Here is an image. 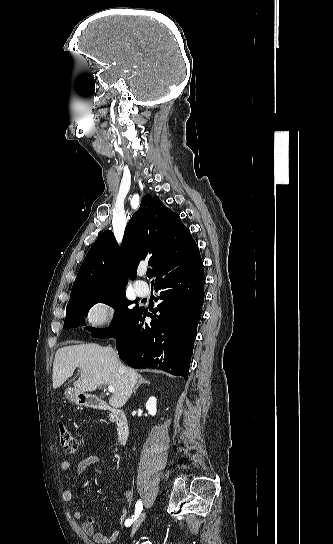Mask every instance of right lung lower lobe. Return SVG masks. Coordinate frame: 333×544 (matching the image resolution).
Segmentation results:
<instances>
[{
	"label": "right lung lower lobe",
	"mask_w": 333,
	"mask_h": 544,
	"mask_svg": "<svg viewBox=\"0 0 333 544\" xmlns=\"http://www.w3.org/2000/svg\"><path fill=\"white\" fill-rule=\"evenodd\" d=\"M203 263L193 270L166 276L155 283L161 291L157 314L141 308L126 322L96 338L114 337L119 357L136 369L151 367L187 379L204 301Z\"/></svg>",
	"instance_id": "1"
}]
</instances>
